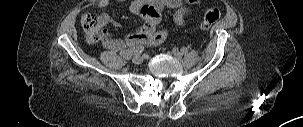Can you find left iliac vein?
Wrapping results in <instances>:
<instances>
[{
    "label": "left iliac vein",
    "mask_w": 303,
    "mask_h": 127,
    "mask_svg": "<svg viewBox=\"0 0 303 127\" xmlns=\"http://www.w3.org/2000/svg\"><path fill=\"white\" fill-rule=\"evenodd\" d=\"M171 54L176 58V59H181L182 58V53L178 49H173Z\"/></svg>",
    "instance_id": "1"
}]
</instances>
